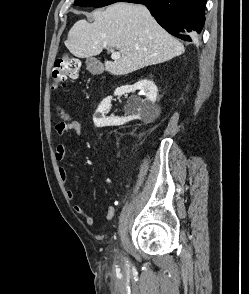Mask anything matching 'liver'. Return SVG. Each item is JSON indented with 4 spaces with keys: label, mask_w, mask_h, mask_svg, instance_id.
Listing matches in <instances>:
<instances>
[{
    "label": "liver",
    "mask_w": 249,
    "mask_h": 294,
    "mask_svg": "<svg viewBox=\"0 0 249 294\" xmlns=\"http://www.w3.org/2000/svg\"><path fill=\"white\" fill-rule=\"evenodd\" d=\"M92 17L93 23L82 19L73 25L65 46L78 58L99 55L104 48L119 50V59L105 61V70L113 75L163 63L185 51L143 5L119 2Z\"/></svg>",
    "instance_id": "1"
}]
</instances>
